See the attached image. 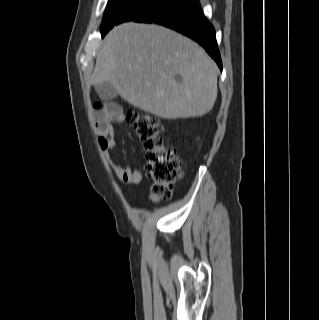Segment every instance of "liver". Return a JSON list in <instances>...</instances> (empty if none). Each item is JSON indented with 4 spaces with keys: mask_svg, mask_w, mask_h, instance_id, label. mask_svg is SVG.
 I'll use <instances>...</instances> for the list:
<instances>
[{
    "mask_svg": "<svg viewBox=\"0 0 319 320\" xmlns=\"http://www.w3.org/2000/svg\"><path fill=\"white\" fill-rule=\"evenodd\" d=\"M218 72L191 39L162 26L127 22L106 35L91 83L109 82L126 102L160 118H194L213 108Z\"/></svg>",
    "mask_w": 319,
    "mask_h": 320,
    "instance_id": "liver-1",
    "label": "liver"
}]
</instances>
